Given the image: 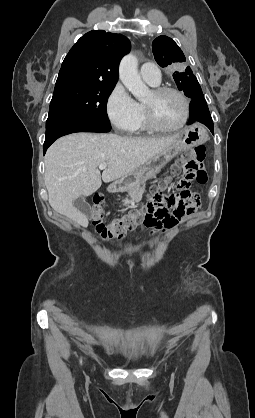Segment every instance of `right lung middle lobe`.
Segmentation results:
<instances>
[{"label": "right lung middle lobe", "mask_w": 255, "mask_h": 418, "mask_svg": "<svg viewBox=\"0 0 255 418\" xmlns=\"http://www.w3.org/2000/svg\"><path fill=\"white\" fill-rule=\"evenodd\" d=\"M115 85L66 82L56 84L49 116H76L111 127L106 112L107 100Z\"/></svg>", "instance_id": "dd1d6c3e"}]
</instances>
